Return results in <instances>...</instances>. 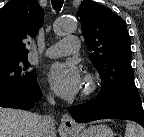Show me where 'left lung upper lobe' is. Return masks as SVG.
Masks as SVG:
<instances>
[{
    "label": "left lung upper lobe",
    "mask_w": 144,
    "mask_h": 137,
    "mask_svg": "<svg viewBox=\"0 0 144 137\" xmlns=\"http://www.w3.org/2000/svg\"><path fill=\"white\" fill-rule=\"evenodd\" d=\"M79 16L90 59L102 80L98 95L110 100L138 94L130 66L131 40L123 19L91 0L81 3Z\"/></svg>",
    "instance_id": "obj_1"
}]
</instances>
